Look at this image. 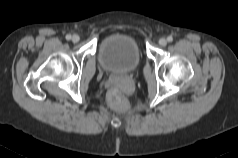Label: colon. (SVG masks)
I'll return each instance as SVG.
<instances>
[{
	"label": "colon",
	"instance_id": "obj_1",
	"mask_svg": "<svg viewBox=\"0 0 238 158\" xmlns=\"http://www.w3.org/2000/svg\"><path fill=\"white\" fill-rule=\"evenodd\" d=\"M108 102L111 106L123 109L126 107L127 102L118 88H112L108 93Z\"/></svg>",
	"mask_w": 238,
	"mask_h": 158
}]
</instances>
